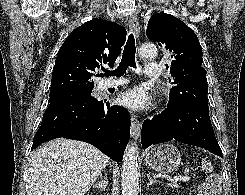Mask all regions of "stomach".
I'll list each match as a JSON object with an SVG mask.
<instances>
[{
    "label": "stomach",
    "mask_w": 245,
    "mask_h": 195,
    "mask_svg": "<svg viewBox=\"0 0 245 195\" xmlns=\"http://www.w3.org/2000/svg\"><path fill=\"white\" fill-rule=\"evenodd\" d=\"M145 162L157 172H172L178 168L181 154L174 145L161 144L146 153Z\"/></svg>",
    "instance_id": "obj_1"
}]
</instances>
